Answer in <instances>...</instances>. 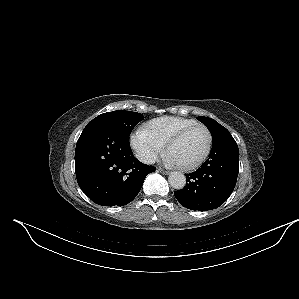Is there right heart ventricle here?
I'll list each match as a JSON object with an SVG mask.
<instances>
[{
  "instance_id": "e07e8e85",
  "label": "right heart ventricle",
  "mask_w": 299,
  "mask_h": 299,
  "mask_svg": "<svg viewBox=\"0 0 299 299\" xmlns=\"http://www.w3.org/2000/svg\"><path fill=\"white\" fill-rule=\"evenodd\" d=\"M194 119L163 116L149 121L145 128L163 145L183 128L195 123Z\"/></svg>"
}]
</instances>
